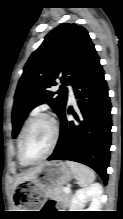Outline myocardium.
I'll return each instance as SVG.
<instances>
[{
	"label": "myocardium",
	"mask_w": 123,
	"mask_h": 219,
	"mask_svg": "<svg viewBox=\"0 0 123 219\" xmlns=\"http://www.w3.org/2000/svg\"><path fill=\"white\" fill-rule=\"evenodd\" d=\"M38 119H45L49 122V124L51 125V128H52V140H51V143H50L49 148L46 151V153L38 160L31 161V160H28L24 155L23 144H24V139H25L26 133H27L30 125ZM59 134H60V130H59L58 122L51 114L46 113V112H38V113L34 114L26 122V124L22 130L20 139H19L20 159L27 165H36V164H39L40 162L44 161L46 158H48L51 155V153L55 149L57 142H58V139H59Z\"/></svg>",
	"instance_id": "f54148a6"
}]
</instances>
